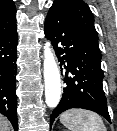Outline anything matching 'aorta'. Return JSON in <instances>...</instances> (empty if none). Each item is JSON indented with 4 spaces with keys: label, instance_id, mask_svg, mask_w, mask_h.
I'll return each instance as SVG.
<instances>
[{
    "label": "aorta",
    "instance_id": "762f6f07",
    "mask_svg": "<svg viewBox=\"0 0 117 131\" xmlns=\"http://www.w3.org/2000/svg\"><path fill=\"white\" fill-rule=\"evenodd\" d=\"M44 81L45 102L48 107L55 108L61 99V79L57 63L49 42L44 45Z\"/></svg>",
    "mask_w": 117,
    "mask_h": 131
}]
</instances>
